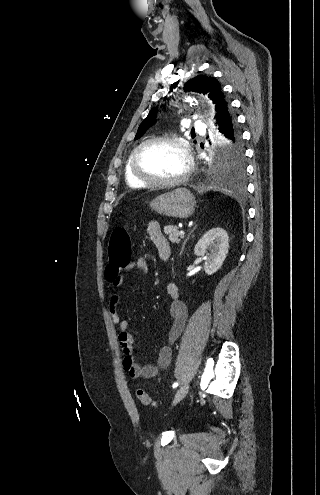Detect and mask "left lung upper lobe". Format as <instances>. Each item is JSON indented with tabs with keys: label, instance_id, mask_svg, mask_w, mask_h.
<instances>
[{
	"label": "left lung upper lobe",
	"instance_id": "5c2ea615",
	"mask_svg": "<svg viewBox=\"0 0 320 495\" xmlns=\"http://www.w3.org/2000/svg\"><path fill=\"white\" fill-rule=\"evenodd\" d=\"M183 89L184 91L206 94L215 104V120L224 111L229 109V102L225 98L220 83L214 77L198 75L187 81ZM156 114L157 108H153L140 124L135 139L143 136L149 126L153 123ZM215 168L233 176L240 175L244 172V150L241 141V133L237 125L231 136L219 139Z\"/></svg>",
	"mask_w": 320,
	"mask_h": 495
}]
</instances>
